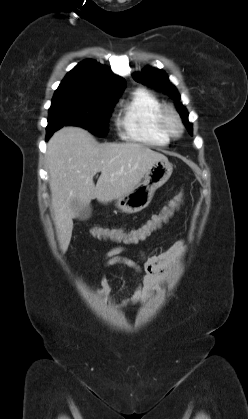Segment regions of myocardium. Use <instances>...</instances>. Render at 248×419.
I'll list each match as a JSON object with an SVG mask.
<instances>
[{
    "label": "myocardium",
    "instance_id": "1",
    "mask_svg": "<svg viewBox=\"0 0 248 419\" xmlns=\"http://www.w3.org/2000/svg\"><path fill=\"white\" fill-rule=\"evenodd\" d=\"M172 121L175 123V126L172 124ZM159 123L161 129L169 138H179L184 132L182 118L173 107L165 106L162 108L159 115Z\"/></svg>",
    "mask_w": 248,
    "mask_h": 419
}]
</instances>
